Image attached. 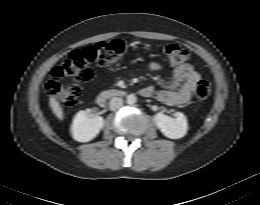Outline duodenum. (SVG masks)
<instances>
[{
    "instance_id": "duodenum-1",
    "label": "duodenum",
    "mask_w": 260,
    "mask_h": 205,
    "mask_svg": "<svg viewBox=\"0 0 260 205\" xmlns=\"http://www.w3.org/2000/svg\"><path fill=\"white\" fill-rule=\"evenodd\" d=\"M124 96V92L120 90H107L102 92L101 94L98 95V100L100 102L109 99V98H114V97H122Z\"/></svg>"
}]
</instances>
